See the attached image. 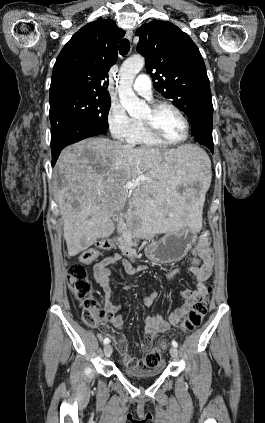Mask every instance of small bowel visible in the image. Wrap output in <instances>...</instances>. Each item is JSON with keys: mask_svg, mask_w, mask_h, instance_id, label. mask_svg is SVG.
Returning <instances> with one entry per match:
<instances>
[{"mask_svg": "<svg viewBox=\"0 0 265 423\" xmlns=\"http://www.w3.org/2000/svg\"><path fill=\"white\" fill-rule=\"evenodd\" d=\"M193 255L194 257L192 258L189 271L192 274L196 289L182 290L181 296L184 299L183 304L181 307L171 312L167 318H163L158 314H151L146 317L144 325L145 335L141 345L143 352L146 353L150 351L152 344L158 335L166 332L171 325H178L186 318L196 302L197 295L203 290L205 281L210 277L215 265V256L212 250L206 246L201 250L195 249ZM120 260L121 258L118 254H112L99 261L95 265V279L103 290L105 298V310L109 315L110 323L115 328L123 330L125 325L123 316L120 313L122 306L113 302V291L110 282L111 267ZM122 265L127 273H135L136 271L145 269V266L143 265L133 267L127 260H122ZM177 273V269L170 271L167 274L168 280L172 281ZM129 289V284L123 285L120 288L121 291H127ZM157 297L158 293L153 291L143 298L142 304L145 307H150L157 299ZM102 333L112 337L125 366L132 368L138 366L142 360L136 359L129 355V342L122 332H114L110 327L109 331H102ZM99 337L102 338L103 335L100 334Z\"/></svg>", "mask_w": 265, "mask_h": 423, "instance_id": "obj_1", "label": "small bowel"}]
</instances>
